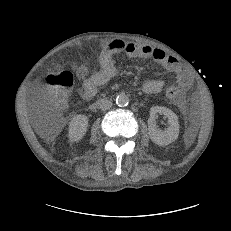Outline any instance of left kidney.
Wrapping results in <instances>:
<instances>
[{
	"mask_svg": "<svg viewBox=\"0 0 231 231\" xmlns=\"http://www.w3.org/2000/svg\"><path fill=\"white\" fill-rule=\"evenodd\" d=\"M158 113L163 114L168 118L169 127L164 131L157 128L155 117ZM148 131L150 139L158 145L164 146L174 142L179 135V123L177 115L166 107H151L150 118L148 119Z\"/></svg>",
	"mask_w": 231,
	"mask_h": 231,
	"instance_id": "left-kidney-1",
	"label": "left kidney"
}]
</instances>
